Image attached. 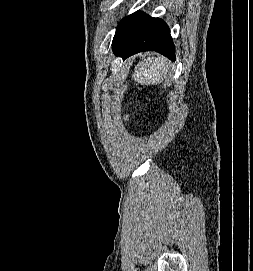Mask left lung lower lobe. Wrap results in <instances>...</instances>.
Wrapping results in <instances>:
<instances>
[{
	"label": "left lung lower lobe",
	"mask_w": 253,
	"mask_h": 271,
	"mask_svg": "<svg viewBox=\"0 0 253 271\" xmlns=\"http://www.w3.org/2000/svg\"><path fill=\"white\" fill-rule=\"evenodd\" d=\"M112 49L123 59L141 52L156 51L175 60V47L166 23L137 11L123 18L117 26Z\"/></svg>",
	"instance_id": "obj_1"
}]
</instances>
